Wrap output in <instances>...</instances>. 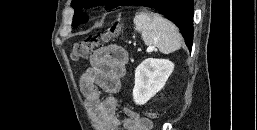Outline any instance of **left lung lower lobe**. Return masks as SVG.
<instances>
[{
  "instance_id": "left-lung-lower-lobe-1",
  "label": "left lung lower lobe",
  "mask_w": 257,
  "mask_h": 130,
  "mask_svg": "<svg viewBox=\"0 0 257 130\" xmlns=\"http://www.w3.org/2000/svg\"><path fill=\"white\" fill-rule=\"evenodd\" d=\"M135 4L155 9L180 30L191 50L193 43V0H137Z\"/></svg>"
}]
</instances>
